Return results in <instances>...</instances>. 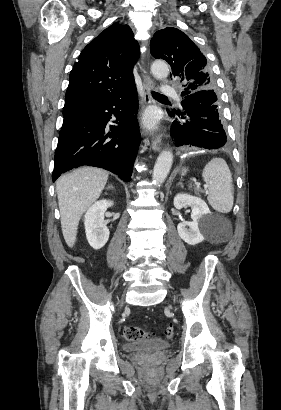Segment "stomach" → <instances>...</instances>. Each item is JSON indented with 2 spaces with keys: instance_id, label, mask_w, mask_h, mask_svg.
<instances>
[{
  "instance_id": "0dacf381",
  "label": "stomach",
  "mask_w": 281,
  "mask_h": 410,
  "mask_svg": "<svg viewBox=\"0 0 281 410\" xmlns=\"http://www.w3.org/2000/svg\"><path fill=\"white\" fill-rule=\"evenodd\" d=\"M183 173H185L186 172V170L185 169H183V171H182Z\"/></svg>"
}]
</instances>
